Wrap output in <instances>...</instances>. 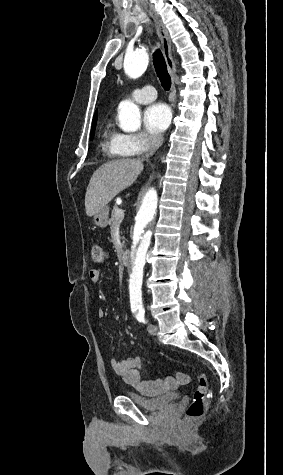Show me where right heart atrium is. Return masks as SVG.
<instances>
[{"label":"right heart atrium","instance_id":"obj_1","mask_svg":"<svg viewBox=\"0 0 283 475\" xmlns=\"http://www.w3.org/2000/svg\"><path fill=\"white\" fill-rule=\"evenodd\" d=\"M160 146V138L149 133L120 134L115 148L120 157L147 155Z\"/></svg>","mask_w":283,"mask_h":475}]
</instances>
